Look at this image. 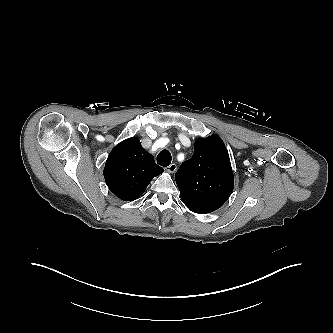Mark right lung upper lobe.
Returning <instances> with one entry per match:
<instances>
[{"mask_svg":"<svg viewBox=\"0 0 333 333\" xmlns=\"http://www.w3.org/2000/svg\"><path fill=\"white\" fill-rule=\"evenodd\" d=\"M164 172L151 154L132 137L119 143L109 154L104 178L109 189L121 200L140 197L153 177Z\"/></svg>","mask_w":333,"mask_h":333,"instance_id":"cb5924a9","label":"right lung upper lobe"}]
</instances>
